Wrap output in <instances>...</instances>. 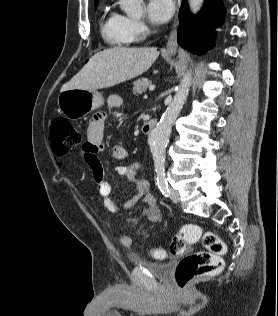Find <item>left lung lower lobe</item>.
<instances>
[{
	"mask_svg": "<svg viewBox=\"0 0 278 316\" xmlns=\"http://www.w3.org/2000/svg\"><path fill=\"white\" fill-rule=\"evenodd\" d=\"M207 11L192 15L184 1L180 8L178 44L191 53L204 54L213 38L212 30L222 22L224 8L221 0H207Z\"/></svg>",
	"mask_w": 278,
	"mask_h": 316,
	"instance_id": "1",
	"label": "left lung lower lobe"
}]
</instances>
